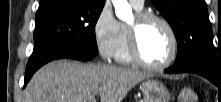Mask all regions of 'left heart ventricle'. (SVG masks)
I'll use <instances>...</instances> for the list:
<instances>
[{"mask_svg": "<svg viewBox=\"0 0 221 102\" xmlns=\"http://www.w3.org/2000/svg\"><path fill=\"white\" fill-rule=\"evenodd\" d=\"M134 20L131 22L133 24ZM139 43L144 58L152 64L165 62L172 50V42L166 28L158 22L144 25L139 32Z\"/></svg>", "mask_w": 221, "mask_h": 102, "instance_id": "obj_1", "label": "left heart ventricle"}]
</instances>
